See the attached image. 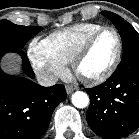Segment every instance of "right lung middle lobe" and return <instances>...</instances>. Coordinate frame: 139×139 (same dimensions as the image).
Masks as SVG:
<instances>
[{
  "label": "right lung middle lobe",
  "mask_w": 139,
  "mask_h": 139,
  "mask_svg": "<svg viewBox=\"0 0 139 139\" xmlns=\"http://www.w3.org/2000/svg\"><path fill=\"white\" fill-rule=\"evenodd\" d=\"M42 29L38 26H19L8 20H1L0 46L14 45L23 48L25 43Z\"/></svg>",
  "instance_id": "dd1d6c3e"
}]
</instances>
